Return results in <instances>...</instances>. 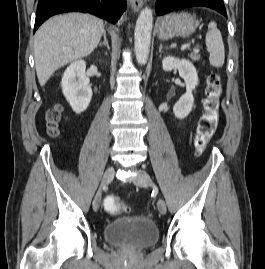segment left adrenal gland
Masks as SVG:
<instances>
[{"mask_svg":"<svg viewBox=\"0 0 265 269\" xmlns=\"http://www.w3.org/2000/svg\"><path fill=\"white\" fill-rule=\"evenodd\" d=\"M163 48H164L163 45L160 44V47H159V53H162V49H163Z\"/></svg>","mask_w":265,"mask_h":269,"instance_id":"obj_1","label":"left adrenal gland"}]
</instances>
